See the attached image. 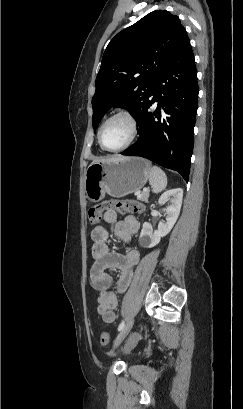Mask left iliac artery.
<instances>
[{
    "mask_svg": "<svg viewBox=\"0 0 243 409\" xmlns=\"http://www.w3.org/2000/svg\"><path fill=\"white\" fill-rule=\"evenodd\" d=\"M124 327H125V322L122 321V322L120 323V325L118 326V331H121Z\"/></svg>",
    "mask_w": 243,
    "mask_h": 409,
    "instance_id": "left-iliac-artery-1",
    "label": "left iliac artery"
}]
</instances>
